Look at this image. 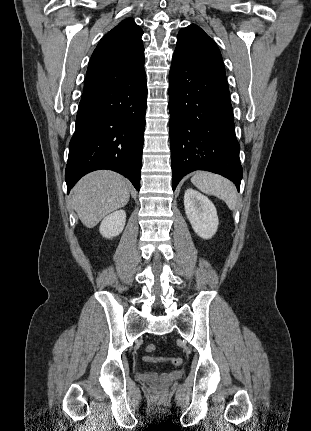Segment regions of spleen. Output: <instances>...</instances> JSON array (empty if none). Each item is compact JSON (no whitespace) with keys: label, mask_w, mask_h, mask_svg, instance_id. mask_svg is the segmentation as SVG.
<instances>
[{"label":"spleen","mask_w":311,"mask_h":431,"mask_svg":"<svg viewBox=\"0 0 311 431\" xmlns=\"http://www.w3.org/2000/svg\"><path fill=\"white\" fill-rule=\"evenodd\" d=\"M191 182L203 194L216 196V198L224 200L229 210H236L238 204L236 188L226 178L217 176V174H209V172H195Z\"/></svg>","instance_id":"3e777b00"}]
</instances>
